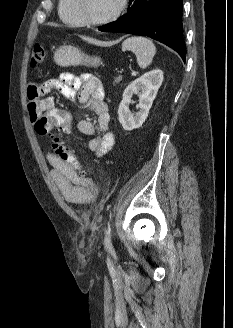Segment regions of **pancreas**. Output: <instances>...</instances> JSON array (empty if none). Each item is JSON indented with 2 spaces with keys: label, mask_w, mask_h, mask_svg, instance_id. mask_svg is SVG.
<instances>
[{
  "label": "pancreas",
  "mask_w": 233,
  "mask_h": 328,
  "mask_svg": "<svg viewBox=\"0 0 233 328\" xmlns=\"http://www.w3.org/2000/svg\"><path fill=\"white\" fill-rule=\"evenodd\" d=\"M121 80H122V76L116 77V78L114 79L113 84L115 85V84L119 83Z\"/></svg>",
  "instance_id": "pancreas-1"
}]
</instances>
